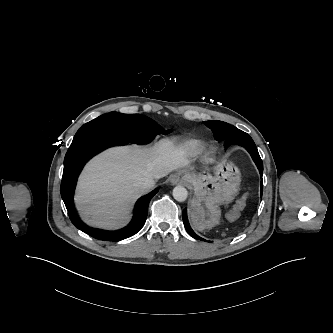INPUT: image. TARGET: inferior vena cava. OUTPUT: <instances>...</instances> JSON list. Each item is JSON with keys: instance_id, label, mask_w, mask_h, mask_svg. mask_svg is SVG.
Masks as SVG:
<instances>
[{"instance_id": "inferior-vena-cava-1", "label": "inferior vena cava", "mask_w": 333, "mask_h": 333, "mask_svg": "<svg viewBox=\"0 0 333 333\" xmlns=\"http://www.w3.org/2000/svg\"><path fill=\"white\" fill-rule=\"evenodd\" d=\"M155 185V181L152 178H141L137 181V186L143 190L148 191Z\"/></svg>"}]
</instances>
